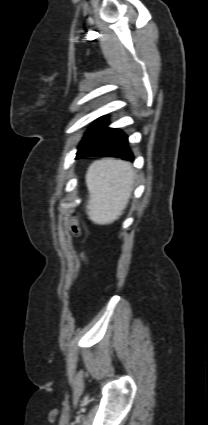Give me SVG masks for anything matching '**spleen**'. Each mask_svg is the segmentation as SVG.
Wrapping results in <instances>:
<instances>
[{
    "label": "spleen",
    "instance_id": "3e777b00",
    "mask_svg": "<svg viewBox=\"0 0 208 425\" xmlns=\"http://www.w3.org/2000/svg\"><path fill=\"white\" fill-rule=\"evenodd\" d=\"M135 172L127 162L113 158L94 161L86 173L90 193L89 219L96 224H110L127 207L133 191Z\"/></svg>",
    "mask_w": 208,
    "mask_h": 425
}]
</instances>
